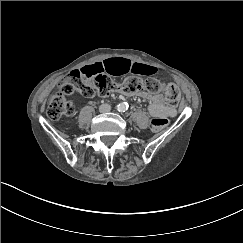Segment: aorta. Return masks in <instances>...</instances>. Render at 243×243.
I'll return each mask as SVG.
<instances>
[{
	"label": "aorta",
	"instance_id": "1",
	"mask_svg": "<svg viewBox=\"0 0 243 243\" xmlns=\"http://www.w3.org/2000/svg\"><path fill=\"white\" fill-rule=\"evenodd\" d=\"M126 109H127V105H126V103L122 102V103H120V104L118 105V110H119V111L123 112V111H125Z\"/></svg>",
	"mask_w": 243,
	"mask_h": 243
}]
</instances>
